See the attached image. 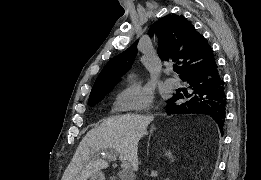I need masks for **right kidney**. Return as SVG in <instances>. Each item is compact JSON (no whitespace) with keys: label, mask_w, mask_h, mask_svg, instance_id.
Listing matches in <instances>:
<instances>
[{"label":"right kidney","mask_w":261,"mask_h":180,"mask_svg":"<svg viewBox=\"0 0 261 180\" xmlns=\"http://www.w3.org/2000/svg\"><path fill=\"white\" fill-rule=\"evenodd\" d=\"M166 156H170V158H171V154H170V152H167Z\"/></svg>","instance_id":"1"}]
</instances>
